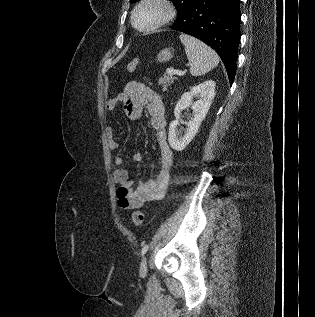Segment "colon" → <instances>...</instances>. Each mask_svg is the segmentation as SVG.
I'll list each match as a JSON object with an SVG mask.
<instances>
[{"instance_id": "colon-1", "label": "colon", "mask_w": 315, "mask_h": 317, "mask_svg": "<svg viewBox=\"0 0 315 317\" xmlns=\"http://www.w3.org/2000/svg\"><path fill=\"white\" fill-rule=\"evenodd\" d=\"M139 65V60L137 58L130 60L126 65V70L130 73L134 72ZM132 222L135 226H141L144 222L143 212L137 210L131 215Z\"/></svg>"}]
</instances>
